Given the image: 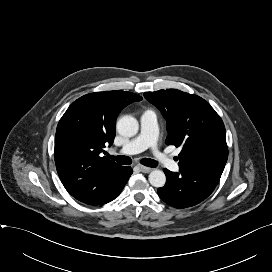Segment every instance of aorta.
<instances>
[{
  "mask_svg": "<svg viewBox=\"0 0 272 272\" xmlns=\"http://www.w3.org/2000/svg\"><path fill=\"white\" fill-rule=\"evenodd\" d=\"M139 129L138 121L130 115L122 116L117 122V131L122 136L132 137ZM149 182L154 187H163L166 183V176L161 170H153L149 174Z\"/></svg>",
  "mask_w": 272,
  "mask_h": 272,
  "instance_id": "aorta-1",
  "label": "aorta"
}]
</instances>
